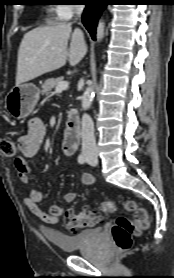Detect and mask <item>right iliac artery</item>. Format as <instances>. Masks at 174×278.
<instances>
[{"mask_svg": "<svg viewBox=\"0 0 174 278\" xmlns=\"http://www.w3.org/2000/svg\"><path fill=\"white\" fill-rule=\"evenodd\" d=\"M85 161H86L85 155H84V154H80V155L78 156V162H79L80 164H84Z\"/></svg>", "mask_w": 174, "mask_h": 278, "instance_id": "right-iliac-artery-1", "label": "right iliac artery"}]
</instances>
